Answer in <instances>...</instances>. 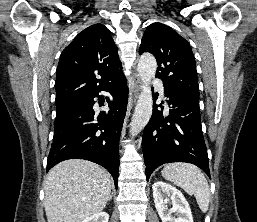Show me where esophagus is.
Returning a JSON list of instances; mask_svg holds the SVG:
<instances>
[{
	"label": "esophagus",
	"instance_id": "esophagus-1",
	"mask_svg": "<svg viewBox=\"0 0 257 222\" xmlns=\"http://www.w3.org/2000/svg\"><path fill=\"white\" fill-rule=\"evenodd\" d=\"M141 90V80L138 75L133 76V88H132V93H133V102L136 101V99L139 96V92Z\"/></svg>",
	"mask_w": 257,
	"mask_h": 222
}]
</instances>
